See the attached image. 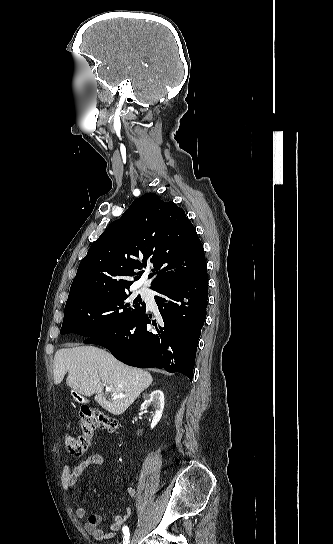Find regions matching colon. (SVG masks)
Here are the masks:
<instances>
[{
  "label": "colon",
  "mask_w": 333,
  "mask_h": 544,
  "mask_svg": "<svg viewBox=\"0 0 333 544\" xmlns=\"http://www.w3.org/2000/svg\"><path fill=\"white\" fill-rule=\"evenodd\" d=\"M116 428L117 422L114 419L98 410L84 407L80 412L79 431L74 434H66L65 447L70 454L81 456L86 452L96 429L113 432Z\"/></svg>",
  "instance_id": "5ec220e1"
}]
</instances>
